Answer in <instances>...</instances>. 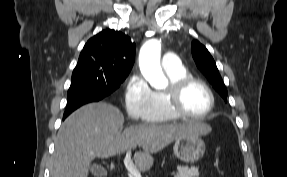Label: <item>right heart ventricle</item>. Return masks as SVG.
Listing matches in <instances>:
<instances>
[{
	"label": "right heart ventricle",
	"instance_id": "obj_1",
	"mask_svg": "<svg viewBox=\"0 0 287 177\" xmlns=\"http://www.w3.org/2000/svg\"><path fill=\"white\" fill-rule=\"evenodd\" d=\"M165 73L169 84L188 75L185 67L182 65L176 69L165 70ZM177 118L168 107L165 90L152 92V109L148 120L153 123H166Z\"/></svg>",
	"mask_w": 287,
	"mask_h": 177
}]
</instances>
